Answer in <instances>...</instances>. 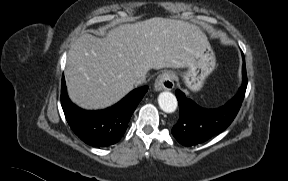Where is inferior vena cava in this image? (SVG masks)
<instances>
[{
  "mask_svg": "<svg viewBox=\"0 0 288 181\" xmlns=\"http://www.w3.org/2000/svg\"><path fill=\"white\" fill-rule=\"evenodd\" d=\"M146 82V77L145 76H142V77H139L138 79L135 80V85H141V84H144Z\"/></svg>",
  "mask_w": 288,
  "mask_h": 181,
  "instance_id": "602c4592",
  "label": "inferior vena cava"
}]
</instances>
